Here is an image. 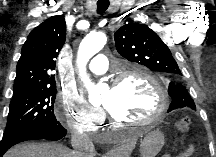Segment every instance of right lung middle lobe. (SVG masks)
<instances>
[{
	"label": "right lung middle lobe",
	"mask_w": 216,
	"mask_h": 157,
	"mask_svg": "<svg viewBox=\"0 0 216 157\" xmlns=\"http://www.w3.org/2000/svg\"><path fill=\"white\" fill-rule=\"evenodd\" d=\"M56 87L22 91L13 95L3 138L36 126L59 124L54 114Z\"/></svg>",
	"instance_id": "1"
}]
</instances>
